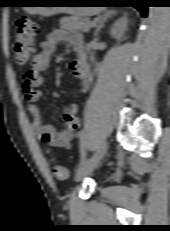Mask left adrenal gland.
<instances>
[{
  "mask_svg": "<svg viewBox=\"0 0 170 231\" xmlns=\"http://www.w3.org/2000/svg\"><path fill=\"white\" fill-rule=\"evenodd\" d=\"M115 11H107L103 14V16L101 17L100 21H99V25L97 26L95 32H94V36L97 37L100 30L104 27L105 22L110 19L113 15H115Z\"/></svg>",
  "mask_w": 170,
  "mask_h": 231,
  "instance_id": "1",
  "label": "left adrenal gland"
}]
</instances>
